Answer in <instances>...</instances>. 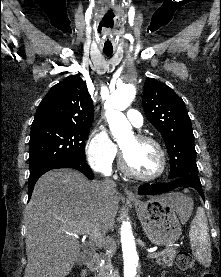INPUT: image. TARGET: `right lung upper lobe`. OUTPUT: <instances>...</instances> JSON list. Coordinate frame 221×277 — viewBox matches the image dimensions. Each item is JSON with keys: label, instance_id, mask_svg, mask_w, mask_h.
I'll list each match as a JSON object with an SVG mask.
<instances>
[{"label": "right lung upper lobe", "instance_id": "right-lung-upper-lobe-1", "mask_svg": "<svg viewBox=\"0 0 221 277\" xmlns=\"http://www.w3.org/2000/svg\"><path fill=\"white\" fill-rule=\"evenodd\" d=\"M94 107L85 82L72 75L53 86L36 111L32 127L41 125L91 126Z\"/></svg>", "mask_w": 221, "mask_h": 277}]
</instances>
